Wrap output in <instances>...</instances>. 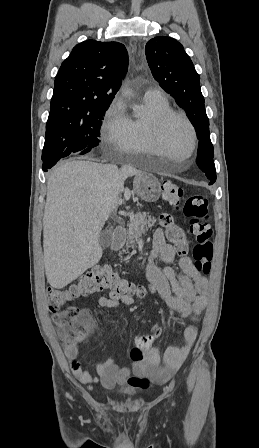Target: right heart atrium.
I'll use <instances>...</instances> for the list:
<instances>
[{"instance_id":"obj_1","label":"right heart atrium","mask_w":259,"mask_h":448,"mask_svg":"<svg viewBox=\"0 0 259 448\" xmlns=\"http://www.w3.org/2000/svg\"><path fill=\"white\" fill-rule=\"evenodd\" d=\"M120 97H115L109 106L99 129V142L103 150L119 154L127 153L128 133L121 118Z\"/></svg>"}]
</instances>
